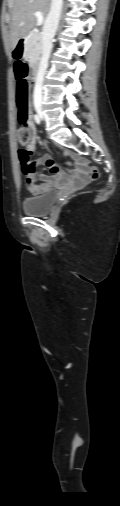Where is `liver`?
<instances>
[{
    "mask_svg": "<svg viewBox=\"0 0 120 506\" xmlns=\"http://www.w3.org/2000/svg\"><path fill=\"white\" fill-rule=\"evenodd\" d=\"M51 0H14L10 46L15 49L19 40L26 37L36 23L35 12L39 11L47 17Z\"/></svg>",
    "mask_w": 120,
    "mask_h": 506,
    "instance_id": "1",
    "label": "liver"
}]
</instances>
